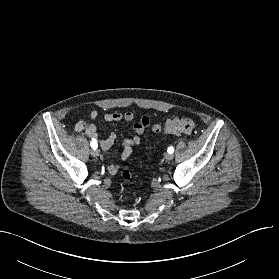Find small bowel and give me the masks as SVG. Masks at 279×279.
<instances>
[{
  "label": "small bowel",
  "instance_id": "1",
  "mask_svg": "<svg viewBox=\"0 0 279 279\" xmlns=\"http://www.w3.org/2000/svg\"><path fill=\"white\" fill-rule=\"evenodd\" d=\"M102 118L106 122H119L124 121L131 124L132 134L129 138H126L123 141V150L121 154L122 161L127 160L132 152L134 147L138 146L141 142V136L145 133L148 127L151 124V120L147 116H143L139 119L135 118V115L131 111L127 112H109L101 113L99 111H92L90 114V122L78 121L75 124V131L83 132L92 140H98L99 146L103 151H108L116 140V134L110 133L104 139H98L97 125L96 122L98 119ZM120 167L117 164H111L107 166V170L110 174H116L119 171Z\"/></svg>",
  "mask_w": 279,
  "mask_h": 279
}]
</instances>
